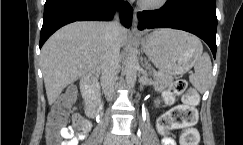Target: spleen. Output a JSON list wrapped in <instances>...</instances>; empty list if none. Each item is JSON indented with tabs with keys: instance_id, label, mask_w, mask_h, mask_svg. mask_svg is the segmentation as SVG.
I'll return each instance as SVG.
<instances>
[{
	"instance_id": "obj_1",
	"label": "spleen",
	"mask_w": 243,
	"mask_h": 145,
	"mask_svg": "<svg viewBox=\"0 0 243 145\" xmlns=\"http://www.w3.org/2000/svg\"><path fill=\"white\" fill-rule=\"evenodd\" d=\"M211 75V59L208 53H204L203 55H200L198 60L195 62L194 73L190 75L189 80L200 93H204L208 87Z\"/></svg>"
}]
</instances>
